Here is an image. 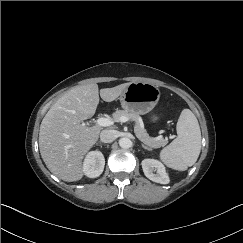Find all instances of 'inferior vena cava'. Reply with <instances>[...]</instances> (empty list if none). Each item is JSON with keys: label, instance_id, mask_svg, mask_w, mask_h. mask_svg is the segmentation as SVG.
I'll use <instances>...</instances> for the list:
<instances>
[{"label": "inferior vena cava", "instance_id": "obj_1", "mask_svg": "<svg viewBox=\"0 0 243 243\" xmlns=\"http://www.w3.org/2000/svg\"><path fill=\"white\" fill-rule=\"evenodd\" d=\"M100 139L104 143H111L116 139V131L115 130H103L100 133Z\"/></svg>", "mask_w": 243, "mask_h": 243}]
</instances>
